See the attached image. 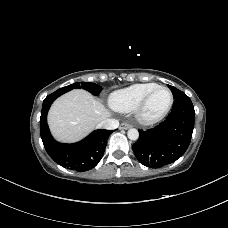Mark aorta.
Instances as JSON below:
<instances>
[{"mask_svg": "<svg viewBox=\"0 0 228 228\" xmlns=\"http://www.w3.org/2000/svg\"><path fill=\"white\" fill-rule=\"evenodd\" d=\"M127 135H128V138L133 141H135L139 138V132L135 128L129 129Z\"/></svg>", "mask_w": 228, "mask_h": 228, "instance_id": "obj_1", "label": "aorta"}]
</instances>
